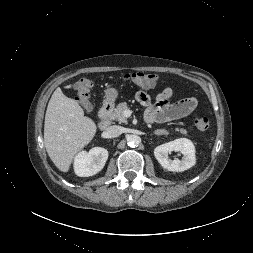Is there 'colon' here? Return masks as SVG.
Instances as JSON below:
<instances>
[{
	"instance_id": "1",
	"label": "colon",
	"mask_w": 253,
	"mask_h": 253,
	"mask_svg": "<svg viewBox=\"0 0 253 253\" xmlns=\"http://www.w3.org/2000/svg\"><path fill=\"white\" fill-rule=\"evenodd\" d=\"M124 80L141 87H150L159 81V76L150 72H132L124 76ZM94 85L91 78L83 77L74 86V91L78 102L85 111L92 109L90 101V91ZM194 125L197 129L204 131L209 127V119L203 114H196L194 117Z\"/></svg>"
}]
</instances>
